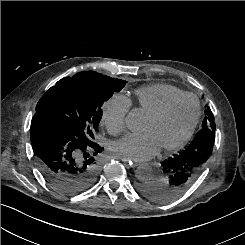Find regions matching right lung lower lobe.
<instances>
[{"label":"right lung lower lobe","mask_w":245,"mask_h":245,"mask_svg":"<svg viewBox=\"0 0 245 245\" xmlns=\"http://www.w3.org/2000/svg\"><path fill=\"white\" fill-rule=\"evenodd\" d=\"M30 139L41 174L58 192L79 194L97 180L103 148L96 142L77 138L41 112L32 119Z\"/></svg>","instance_id":"obj_1"}]
</instances>
